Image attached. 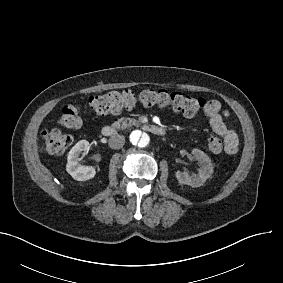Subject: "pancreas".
Returning <instances> with one entry per match:
<instances>
[{"mask_svg": "<svg viewBox=\"0 0 283 283\" xmlns=\"http://www.w3.org/2000/svg\"><path fill=\"white\" fill-rule=\"evenodd\" d=\"M136 124H137L136 119L121 118V119L117 120L116 122H114L112 124V126L117 128L118 130H120V129H125L127 127H130L131 125H136Z\"/></svg>", "mask_w": 283, "mask_h": 283, "instance_id": "cf45deb5", "label": "pancreas"}]
</instances>
